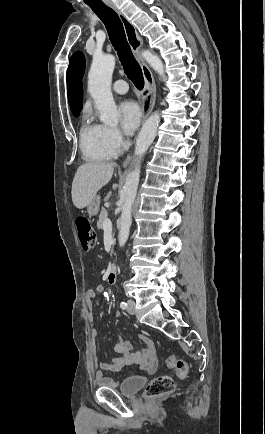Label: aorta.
Instances as JSON below:
<instances>
[{
    "label": "aorta",
    "mask_w": 265,
    "mask_h": 434,
    "mask_svg": "<svg viewBox=\"0 0 265 434\" xmlns=\"http://www.w3.org/2000/svg\"><path fill=\"white\" fill-rule=\"evenodd\" d=\"M142 56L147 64H149L161 78H164V66L159 56H156V54H153L150 50H144ZM114 68L115 56H111V54L93 56L92 66L88 74V92L96 104V108L100 114V122H103L106 126H117L119 120L118 110L111 92ZM159 124L160 116L158 112H154V114L146 120L145 124H143L142 130L137 136L135 146V156H137V160L135 168L133 172L128 174L123 188L125 200L123 206L120 208L121 216L120 220H118L119 246H125L129 238L132 224V206L135 202L140 178L139 158H142L143 154L147 152L149 146L154 142Z\"/></svg>",
    "instance_id": "1"
}]
</instances>
